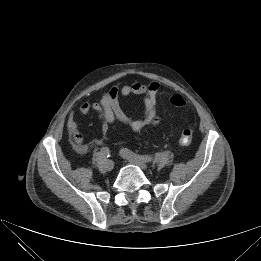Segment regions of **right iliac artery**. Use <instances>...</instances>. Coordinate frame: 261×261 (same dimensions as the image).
Masks as SVG:
<instances>
[{
  "instance_id": "82829eb1",
  "label": "right iliac artery",
  "mask_w": 261,
  "mask_h": 261,
  "mask_svg": "<svg viewBox=\"0 0 261 261\" xmlns=\"http://www.w3.org/2000/svg\"><path fill=\"white\" fill-rule=\"evenodd\" d=\"M100 154L103 158H108L111 155L108 147H102L101 150H100Z\"/></svg>"
}]
</instances>
